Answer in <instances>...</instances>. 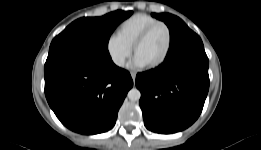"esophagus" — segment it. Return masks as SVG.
Returning <instances> with one entry per match:
<instances>
[{
  "label": "esophagus",
  "instance_id": "obj_1",
  "mask_svg": "<svg viewBox=\"0 0 261 150\" xmlns=\"http://www.w3.org/2000/svg\"><path fill=\"white\" fill-rule=\"evenodd\" d=\"M131 77L133 79V82H135L136 79V73L135 72H131Z\"/></svg>",
  "mask_w": 261,
  "mask_h": 150
}]
</instances>
